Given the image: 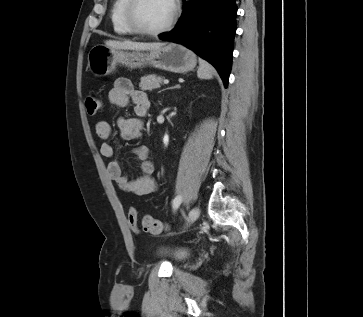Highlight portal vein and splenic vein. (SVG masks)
I'll return each instance as SVG.
<instances>
[{"mask_svg":"<svg viewBox=\"0 0 363 317\" xmlns=\"http://www.w3.org/2000/svg\"><path fill=\"white\" fill-rule=\"evenodd\" d=\"M163 82H164V84H168L169 80L165 79Z\"/></svg>","mask_w":363,"mask_h":317,"instance_id":"portal-vein-and-splenic-vein-1","label":"portal vein and splenic vein"}]
</instances>
